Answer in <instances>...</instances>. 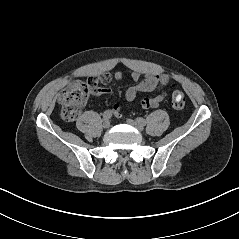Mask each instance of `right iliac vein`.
<instances>
[{
    "mask_svg": "<svg viewBox=\"0 0 239 239\" xmlns=\"http://www.w3.org/2000/svg\"><path fill=\"white\" fill-rule=\"evenodd\" d=\"M109 127H110V121H109V120H105V121L103 122V128L107 129V128H109Z\"/></svg>",
    "mask_w": 239,
    "mask_h": 239,
    "instance_id": "obj_1",
    "label": "right iliac vein"
}]
</instances>
